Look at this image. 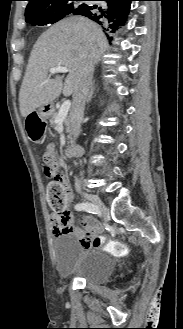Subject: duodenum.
Wrapping results in <instances>:
<instances>
[{
  "label": "duodenum",
  "mask_w": 183,
  "mask_h": 329,
  "mask_svg": "<svg viewBox=\"0 0 183 329\" xmlns=\"http://www.w3.org/2000/svg\"><path fill=\"white\" fill-rule=\"evenodd\" d=\"M83 153V149L80 145L74 144L67 148L65 154L68 158L79 156Z\"/></svg>",
  "instance_id": "duodenum-1"
}]
</instances>
